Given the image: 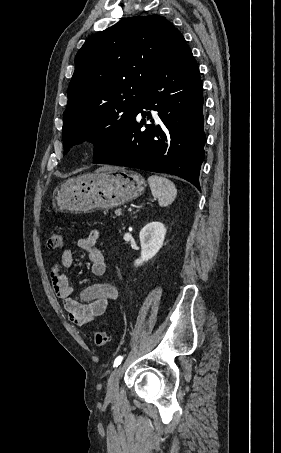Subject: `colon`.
Wrapping results in <instances>:
<instances>
[{
  "instance_id": "1",
  "label": "colon",
  "mask_w": 281,
  "mask_h": 453,
  "mask_svg": "<svg viewBox=\"0 0 281 453\" xmlns=\"http://www.w3.org/2000/svg\"><path fill=\"white\" fill-rule=\"evenodd\" d=\"M63 246V232L60 229H54L51 233L49 249L59 251ZM95 347L104 348L110 343V334L107 332H97L93 336Z\"/></svg>"
}]
</instances>
